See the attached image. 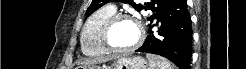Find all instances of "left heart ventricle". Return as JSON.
Segmentation results:
<instances>
[{"label":"left heart ventricle","mask_w":246,"mask_h":69,"mask_svg":"<svg viewBox=\"0 0 246 69\" xmlns=\"http://www.w3.org/2000/svg\"><path fill=\"white\" fill-rule=\"evenodd\" d=\"M138 37L135 24L129 20L118 21L110 33V43L116 48H127L133 45Z\"/></svg>","instance_id":"1"}]
</instances>
